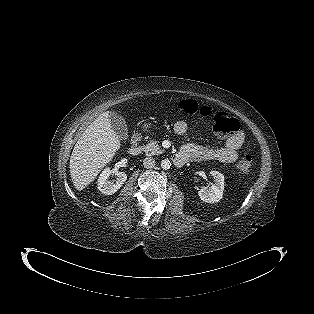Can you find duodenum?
I'll return each mask as SVG.
<instances>
[{"mask_svg": "<svg viewBox=\"0 0 314 314\" xmlns=\"http://www.w3.org/2000/svg\"><path fill=\"white\" fill-rule=\"evenodd\" d=\"M142 143H143V137L141 134L137 133L132 138V144L129 148V152L133 156H137L142 152ZM186 160L182 155H177L174 158V163L176 166L181 167L185 164Z\"/></svg>", "mask_w": 314, "mask_h": 314, "instance_id": "obj_1", "label": "duodenum"}]
</instances>
